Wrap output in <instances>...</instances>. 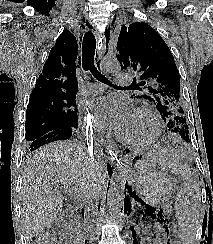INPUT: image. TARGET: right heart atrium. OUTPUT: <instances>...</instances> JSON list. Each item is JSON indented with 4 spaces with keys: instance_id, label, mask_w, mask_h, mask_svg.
<instances>
[{
    "instance_id": "d8ad5b80",
    "label": "right heart atrium",
    "mask_w": 213,
    "mask_h": 244,
    "mask_svg": "<svg viewBox=\"0 0 213 244\" xmlns=\"http://www.w3.org/2000/svg\"><path fill=\"white\" fill-rule=\"evenodd\" d=\"M79 133L86 136H90L97 133V130L88 120H86L85 122L80 124Z\"/></svg>"
}]
</instances>
